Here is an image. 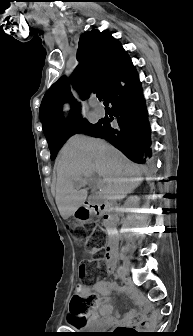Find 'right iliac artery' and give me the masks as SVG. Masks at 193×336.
Masks as SVG:
<instances>
[{"label":"right iliac artery","mask_w":193,"mask_h":336,"mask_svg":"<svg viewBox=\"0 0 193 336\" xmlns=\"http://www.w3.org/2000/svg\"><path fill=\"white\" fill-rule=\"evenodd\" d=\"M121 270H122V266H120L118 268V271H117V277H120L121 276Z\"/></svg>","instance_id":"obj_1"}]
</instances>
